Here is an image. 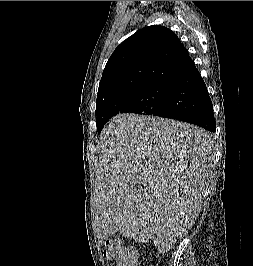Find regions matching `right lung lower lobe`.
<instances>
[{"label": "right lung lower lobe", "instance_id": "98d812e1", "mask_svg": "<svg viewBox=\"0 0 253 266\" xmlns=\"http://www.w3.org/2000/svg\"><path fill=\"white\" fill-rule=\"evenodd\" d=\"M158 116L189 122L215 132L211 98L195 65L170 83L165 108Z\"/></svg>", "mask_w": 253, "mask_h": 266}]
</instances>
